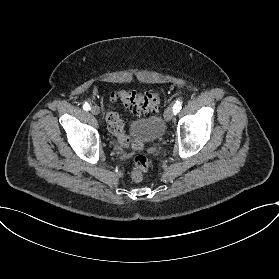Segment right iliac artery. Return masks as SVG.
<instances>
[{
    "label": "right iliac artery",
    "mask_w": 279,
    "mask_h": 279,
    "mask_svg": "<svg viewBox=\"0 0 279 279\" xmlns=\"http://www.w3.org/2000/svg\"><path fill=\"white\" fill-rule=\"evenodd\" d=\"M83 109L86 110V111H89L91 109L90 105L86 102L84 105H83Z\"/></svg>",
    "instance_id": "82829eb1"
}]
</instances>
